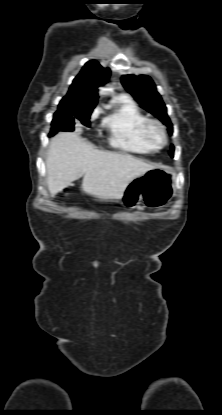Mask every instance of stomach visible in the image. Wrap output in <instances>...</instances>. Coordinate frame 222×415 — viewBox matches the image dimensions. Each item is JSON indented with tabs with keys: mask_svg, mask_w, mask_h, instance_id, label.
I'll return each mask as SVG.
<instances>
[{
	"mask_svg": "<svg viewBox=\"0 0 222 415\" xmlns=\"http://www.w3.org/2000/svg\"><path fill=\"white\" fill-rule=\"evenodd\" d=\"M176 192V174L172 168L156 167L131 180L121 197L125 208L134 209L143 202L148 207L161 208Z\"/></svg>",
	"mask_w": 222,
	"mask_h": 415,
	"instance_id": "stomach-1",
	"label": "stomach"
}]
</instances>
